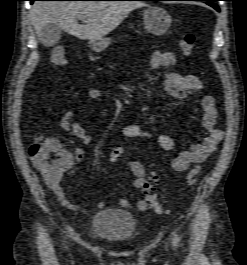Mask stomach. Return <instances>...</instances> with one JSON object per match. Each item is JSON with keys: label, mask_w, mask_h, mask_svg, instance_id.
<instances>
[{"label": "stomach", "mask_w": 247, "mask_h": 265, "mask_svg": "<svg viewBox=\"0 0 247 265\" xmlns=\"http://www.w3.org/2000/svg\"><path fill=\"white\" fill-rule=\"evenodd\" d=\"M143 21L147 31L154 35H163L172 22L169 13L159 6H149L143 13ZM89 45L93 51L102 52L110 45V39L91 40Z\"/></svg>", "instance_id": "obj_1"}]
</instances>
